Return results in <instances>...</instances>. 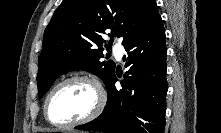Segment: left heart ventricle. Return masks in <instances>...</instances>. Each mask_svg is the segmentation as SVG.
<instances>
[{
    "label": "left heart ventricle",
    "mask_w": 221,
    "mask_h": 133,
    "mask_svg": "<svg viewBox=\"0 0 221 133\" xmlns=\"http://www.w3.org/2000/svg\"><path fill=\"white\" fill-rule=\"evenodd\" d=\"M96 94L83 81L69 82L59 87L48 103V115L53 122L67 123L87 115L93 108Z\"/></svg>",
    "instance_id": "obj_1"
}]
</instances>
